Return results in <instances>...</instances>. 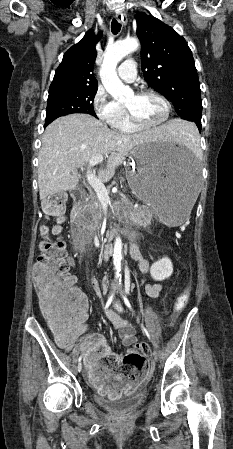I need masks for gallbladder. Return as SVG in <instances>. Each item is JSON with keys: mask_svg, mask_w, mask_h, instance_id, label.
<instances>
[{"mask_svg": "<svg viewBox=\"0 0 233 449\" xmlns=\"http://www.w3.org/2000/svg\"><path fill=\"white\" fill-rule=\"evenodd\" d=\"M59 196H63V197H65V193H63V192H60V193H59Z\"/></svg>", "mask_w": 233, "mask_h": 449, "instance_id": "1", "label": "gallbladder"}]
</instances>
